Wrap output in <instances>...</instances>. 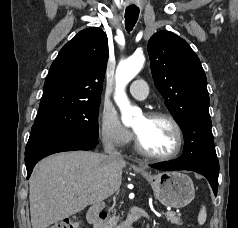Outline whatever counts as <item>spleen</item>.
I'll list each match as a JSON object with an SVG mask.
<instances>
[{
  "mask_svg": "<svg viewBox=\"0 0 238 228\" xmlns=\"http://www.w3.org/2000/svg\"><path fill=\"white\" fill-rule=\"evenodd\" d=\"M207 218V212H206V207L202 205L200 212L198 214V223L199 225H203L206 221Z\"/></svg>",
  "mask_w": 238,
  "mask_h": 228,
  "instance_id": "spleen-1",
  "label": "spleen"
}]
</instances>
